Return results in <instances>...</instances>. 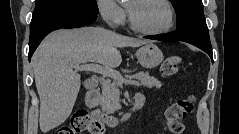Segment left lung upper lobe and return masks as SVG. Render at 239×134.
<instances>
[{
    "instance_id": "1",
    "label": "left lung upper lobe",
    "mask_w": 239,
    "mask_h": 134,
    "mask_svg": "<svg viewBox=\"0 0 239 134\" xmlns=\"http://www.w3.org/2000/svg\"><path fill=\"white\" fill-rule=\"evenodd\" d=\"M177 15V30L189 27L207 28L202 0H170Z\"/></svg>"
}]
</instances>
